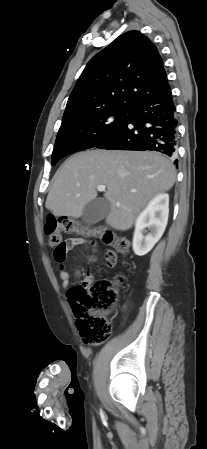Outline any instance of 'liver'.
I'll list each match as a JSON object with an SVG mask.
<instances>
[{"mask_svg":"<svg viewBox=\"0 0 207 449\" xmlns=\"http://www.w3.org/2000/svg\"><path fill=\"white\" fill-rule=\"evenodd\" d=\"M176 179L174 165L154 151L88 150L72 155L55 175L46 208L54 216L79 218L84 207L105 185L110 203L106 224L125 231L146 204L170 190Z\"/></svg>","mask_w":207,"mask_h":449,"instance_id":"1","label":"liver"}]
</instances>
